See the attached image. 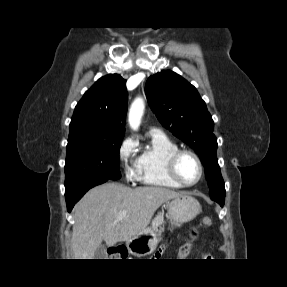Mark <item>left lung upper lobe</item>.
Returning a JSON list of instances; mask_svg holds the SVG:
<instances>
[{
	"label": "left lung upper lobe",
	"mask_w": 287,
	"mask_h": 287,
	"mask_svg": "<svg viewBox=\"0 0 287 287\" xmlns=\"http://www.w3.org/2000/svg\"><path fill=\"white\" fill-rule=\"evenodd\" d=\"M148 103L161 124L195 150L205 168L210 198L225 201V187L217 160L214 122L196 88L166 70L146 82Z\"/></svg>",
	"instance_id": "obj_1"
}]
</instances>
